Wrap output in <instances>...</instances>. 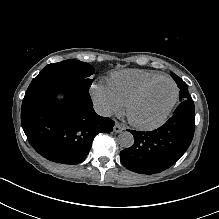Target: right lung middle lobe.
I'll return each instance as SVG.
<instances>
[{
    "mask_svg": "<svg viewBox=\"0 0 219 219\" xmlns=\"http://www.w3.org/2000/svg\"><path fill=\"white\" fill-rule=\"evenodd\" d=\"M94 72V67L88 63L78 60H65L47 65L36 78L55 77L73 80L79 82L83 88L89 90L93 81L90 79V76L94 74Z\"/></svg>",
    "mask_w": 219,
    "mask_h": 219,
    "instance_id": "1",
    "label": "right lung middle lobe"
}]
</instances>
